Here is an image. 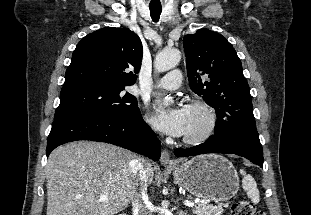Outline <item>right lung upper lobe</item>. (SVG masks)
Here are the masks:
<instances>
[{"label":"right lung upper lobe","mask_w":311,"mask_h":215,"mask_svg":"<svg viewBox=\"0 0 311 215\" xmlns=\"http://www.w3.org/2000/svg\"><path fill=\"white\" fill-rule=\"evenodd\" d=\"M140 38L126 28L105 27L85 36L72 54L63 86L94 83L133 85L141 67Z\"/></svg>","instance_id":"1"}]
</instances>
